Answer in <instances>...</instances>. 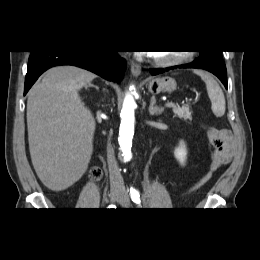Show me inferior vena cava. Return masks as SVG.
<instances>
[{"mask_svg":"<svg viewBox=\"0 0 260 260\" xmlns=\"http://www.w3.org/2000/svg\"><path fill=\"white\" fill-rule=\"evenodd\" d=\"M107 158H108L111 187L124 189L123 178L118 168L117 161L114 156V150L110 142H108V146H107Z\"/></svg>","mask_w":260,"mask_h":260,"instance_id":"obj_1","label":"inferior vena cava"}]
</instances>
